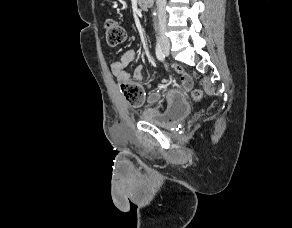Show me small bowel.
Segmentation results:
<instances>
[{
  "label": "small bowel",
  "instance_id": "1",
  "mask_svg": "<svg viewBox=\"0 0 292 228\" xmlns=\"http://www.w3.org/2000/svg\"><path fill=\"white\" fill-rule=\"evenodd\" d=\"M137 59V52L133 49H129L125 51L120 59L118 61H115L111 64V72L112 74L119 80H126L131 77V75L136 79V80H143L144 74H143V66L139 65L137 66L133 73L131 74L129 71L126 70L128 65L132 62H134ZM172 70L177 75L181 81V86L183 91L188 92L192 89L193 87V80L188 75L181 66L174 64L172 66ZM162 95V88L158 87L152 92H150L147 97H146V102L149 105H154L153 107H148V108H141L138 109V113L146 116V115H152V114H159L161 112V105L157 104L160 97ZM166 99H167V107L175 105L177 103H180L181 101L185 100L184 95L181 91L175 89V88H170L167 91L166 94Z\"/></svg>",
  "mask_w": 292,
  "mask_h": 228
}]
</instances>
